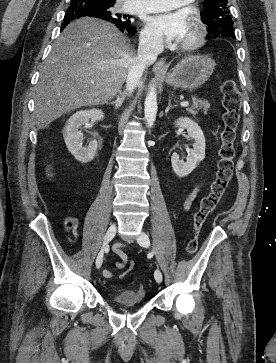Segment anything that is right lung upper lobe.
<instances>
[{
    "label": "right lung upper lobe",
    "instance_id": "obj_1",
    "mask_svg": "<svg viewBox=\"0 0 276 363\" xmlns=\"http://www.w3.org/2000/svg\"><path fill=\"white\" fill-rule=\"evenodd\" d=\"M99 1H102V2H109V3H115L116 0H99ZM124 17H126L125 15L122 16V18L124 19ZM110 21H116L118 23H122V22H127V19H124V20H110ZM130 22V21H129Z\"/></svg>",
    "mask_w": 276,
    "mask_h": 363
}]
</instances>
